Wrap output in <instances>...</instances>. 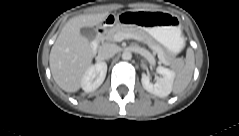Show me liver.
I'll use <instances>...</instances> for the list:
<instances>
[{
	"instance_id": "liver-1",
	"label": "liver",
	"mask_w": 239,
	"mask_h": 136,
	"mask_svg": "<svg viewBox=\"0 0 239 136\" xmlns=\"http://www.w3.org/2000/svg\"><path fill=\"white\" fill-rule=\"evenodd\" d=\"M107 17V12L80 15L71 18L62 28L49 56L52 76L62 90L74 93L80 89L82 77L95 56L89 40L81 35L80 29L94 27Z\"/></svg>"
}]
</instances>
